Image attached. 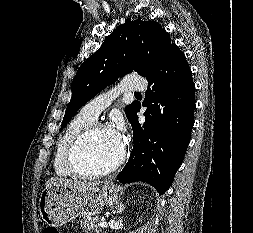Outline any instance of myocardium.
I'll use <instances>...</instances> for the list:
<instances>
[{"label":"myocardium","mask_w":253,"mask_h":233,"mask_svg":"<svg viewBox=\"0 0 253 233\" xmlns=\"http://www.w3.org/2000/svg\"><path fill=\"white\" fill-rule=\"evenodd\" d=\"M106 128L107 127L101 123L93 122L88 125L81 133H79L70 143L66 154V165L68 169L73 173V175L82 178L105 176L116 171L125 162L128 151L127 146L125 144H122V149L119 157L108 167L97 170H84L79 167L77 156L81 148L97 130Z\"/></svg>","instance_id":"obj_1"}]
</instances>
